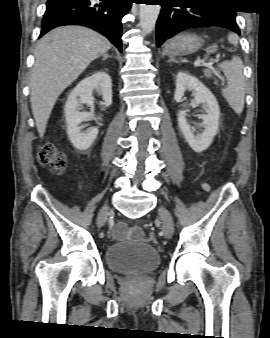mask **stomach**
<instances>
[{
    "label": "stomach",
    "mask_w": 270,
    "mask_h": 338,
    "mask_svg": "<svg viewBox=\"0 0 270 338\" xmlns=\"http://www.w3.org/2000/svg\"><path fill=\"white\" fill-rule=\"evenodd\" d=\"M202 39L192 33H180L164 46L163 54L169 57L190 55L202 47Z\"/></svg>",
    "instance_id": "stomach-1"
}]
</instances>
